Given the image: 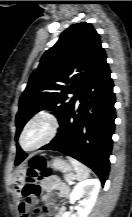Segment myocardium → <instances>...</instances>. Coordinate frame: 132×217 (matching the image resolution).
Here are the masks:
<instances>
[{"instance_id":"myocardium-1","label":"myocardium","mask_w":132,"mask_h":217,"mask_svg":"<svg viewBox=\"0 0 132 217\" xmlns=\"http://www.w3.org/2000/svg\"><path fill=\"white\" fill-rule=\"evenodd\" d=\"M39 120H45L48 122L49 124V132L47 134V136L37 145H35L34 147H30L27 148L24 146L23 143V139H24V135L26 133V131L37 121ZM58 128H59V121L57 116L50 110H40L37 113H35L24 125L21 134L19 136V143L20 146L26 150V151H35L37 149H40L41 147L47 145L48 143H50L55 136L57 135L58 132Z\"/></svg>"}]
</instances>
